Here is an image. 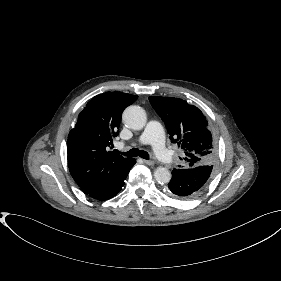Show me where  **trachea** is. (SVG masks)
Here are the masks:
<instances>
[{"label": "trachea", "instance_id": "obj_1", "mask_svg": "<svg viewBox=\"0 0 281 281\" xmlns=\"http://www.w3.org/2000/svg\"><path fill=\"white\" fill-rule=\"evenodd\" d=\"M116 153H120L118 150H116ZM123 155L125 156H132V157H136V156H139L143 159H146L148 160L149 159V154L146 152V151H143V150H139L137 148H132L131 150H129L128 152L126 153H122Z\"/></svg>", "mask_w": 281, "mask_h": 281}]
</instances>
